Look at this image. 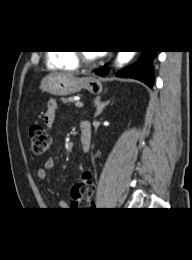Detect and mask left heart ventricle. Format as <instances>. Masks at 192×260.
<instances>
[{
	"mask_svg": "<svg viewBox=\"0 0 192 260\" xmlns=\"http://www.w3.org/2000/svg\"><path fill=\"white\" fill-rule=\"evenodd\" d=\"M85 54H86L88 57H90V58H93V57L97 56V54L94 53V52H85Z\"/></svg>",
	"mask_w": 192,
	"mask_h": 260,
	"instance_id": "obj_1",
	"label": "left heart ventricle"
}]
</instances>
